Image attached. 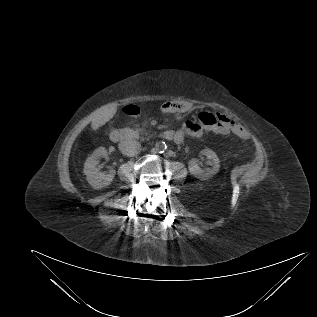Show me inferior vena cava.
I'll return each mask as SVG.
<instances>
[{
  "instance_id": "1",
  "label": "inferior vena cava",
  "mask_w": 317,
  "mask_h": 317,
  "mask_svg": "<svg viewBox=\"0 0 317 317\" xmlns=\"http://www.w3.org/2000/svg\"><path fill=\"white\" fill-rule=\"evenodd\" d=\"M119 149L124 155L133 157L140 152L141 145L136 140L125 139L119 143Z\"/></svg>"
}]
</instances>
